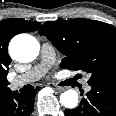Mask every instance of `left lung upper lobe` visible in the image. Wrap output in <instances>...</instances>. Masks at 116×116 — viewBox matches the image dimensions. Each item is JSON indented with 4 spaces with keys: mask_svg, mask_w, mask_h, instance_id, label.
<instances>
[{
    "mask_svg": "<svg viewBox=\"0 0 116 116\" xmlns=\"http://www.w3.org/2000/svg\"><path fill=\"white\" fill-rule=\"evenodd\" d=\"M45 34L65 55L61 67L89 73V85H116V28L110 24L76 18L45 22Z\"/></svg>",
    "mask_w": 116,
    "mask_h": 116,
    "instance_id": "obj_1",
    "label": "left lung upper lobe"
}]
</instances>
